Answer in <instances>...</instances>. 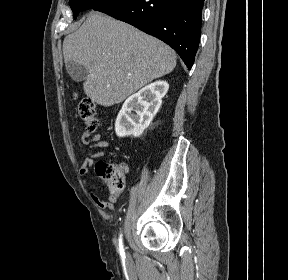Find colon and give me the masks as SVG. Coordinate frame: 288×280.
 Returning <instances> with one entry per match:
<instances>
[{"label":"colon","mask_w":288,"mask_h":280,"mask_svg":"<svg viewBox=\"0 0 288 280\" xmlns=\"http://www.w3.org/2000/svg\"><path fill=\"white\" fill-rule=\"evenodd\" d=\"M79 114L87 126V131L94 132L99 126L95 102L91 98H84L79 103ZM96 174L109 187L110 195L118 196L124 189V172L121 165L99 161L95 166Z\"/></svg>","instance_id":"colon-1"}]
</instances>
